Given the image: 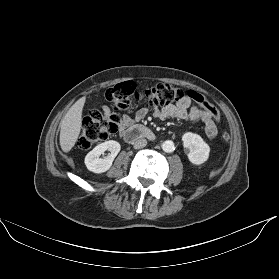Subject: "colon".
Returning <instances> with one entry per match:
<instances>
[{
    "label": "colon",
    "mask_w": 279,
    "mask_h": 279,
    "mask_svg": "<svg viewBox=\"0 0 279 279\" xmlns=\"http://www.w3.org/2000/svg\"><path fill=\"white\" fill-rule=\"evenodd\" d=\"M189 96L200 103L216 122L219 120L218 110L202 94L190 91ZM104 97L111 103L113 110H94L83 119L78 139V145L83 150L91 149L112 136L118 130L121 121L118 111L128 108L132 101L141 102L146 107H164L178 102L183 98V92L165 83L137 90L133 81H124L106 90ZM222 140L226 144L230 140L226 131L222 133Z\"/></svg>",
    "instance_id": "colon-1"
}]
</instances>
